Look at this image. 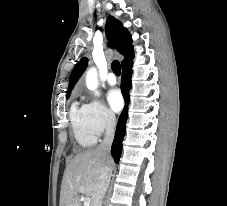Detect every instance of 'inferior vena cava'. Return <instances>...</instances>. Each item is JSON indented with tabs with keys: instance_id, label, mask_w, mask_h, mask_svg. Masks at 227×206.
Returning <instances> with one entry per match:
<instances>
[{
	"instance_id": "inferior-vena-cava-1",
	"label": "inferior vena cava",
	"mask_w": 227,
	"mask_h": 206,
	"mask_svg": "<svg viewBox=\"0 0 227 206\" xmlns=\"http://www.w3.org/2000/svg\"><path fill=\"white\" fill-rule=\"evenodd\" d=\"M114 132L115 116L113 114H109L107 119L105 136L102 143L98 147V151L102 153L105 157H108V154L110 152L114 138ZM110 175L111 172H109L106 168L102 170L96 184L95 192L92 197L93 206H102L103 198L110 183Z\"/></svg>"
}]
</instances>
